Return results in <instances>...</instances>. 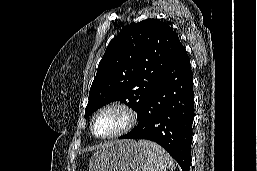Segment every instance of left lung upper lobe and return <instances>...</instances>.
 Returning <instances> with one entry per match:
<instances>
[{
  "label": "left lung upper lobe",
  "instance_id": "obj_1",
  "mask_svg": "<svg viewBox=\"0 0 257 171\" xmlns=\"http://www.w3.org/2000/svg\"><path fill=\"white\" fill-rule=\"evenodd\" d=\"M182 47L177 33L156 19L128 26L111 40L98 65L85 118L116 100L140 116L166 67Z\"/></svg>",
  "mask_w": 257,
  "mask_h": 171
}]
</instances>
